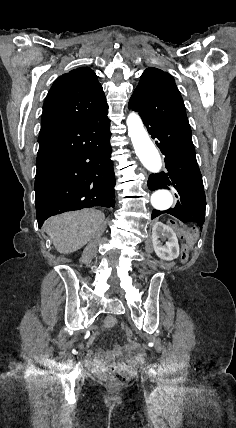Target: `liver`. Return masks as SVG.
Masks as SVG:
<instances>
[{"label": "liver", "instance_id": "obj_1", "mask_svg": "<svg viewBox=\"0 0 236 428\" xmlns=\"http://www.w3.org/2000/svg\"><path fill=\"white\" fill-rule=\"evenodd\" d=\"M105 214L93 208L81 212H66L53 216L45 222L46 234L50 236L57 252L72 254L83 248L92 236H102Z\"/></svg>", "mask_w": 236, "mask_h": 428}]
</instances>
